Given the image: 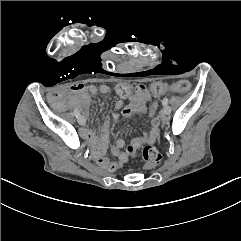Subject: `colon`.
Listing matches in <instances>:
<instances>
[{
	"instance_id": "5ec220e1",
	"label": "colon",
	"mask_w": 241,
	"mask_h": 241,
	"mask_svg": "<svg viewBox=\"0 0 241 241\" xmlns=\"http://www.w3.org/2000/svg\"><path fill=\"white\" fill-rule=\"evenodd\" d=\"M193 88V83L180 81L175 85L174 91L178 93H185L193 90ZM164 90L167 93H170L172 88L170 86L165 88L163 83L157 82H152L149 85V91L152 94H160ZM112 91L116 93L117 97L122 98L124 97L125 93H130L132 91V86L128 83L127 79H118L117 84L112 86ZM141 155L144 161H146V163L143 165V168L146 171L153 170L161 159L160 152L153 145L145 146L141 152ZM118 165H121V163H118Z\"/></svg>"
}]
</instances>
